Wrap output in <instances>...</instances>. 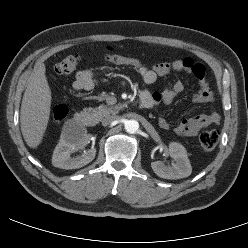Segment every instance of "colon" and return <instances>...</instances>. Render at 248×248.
Masks as SVG:
<instances>
[{"instance_id":"colon-1","label":"colon","mask_w":248,"mask_h":248,"mask_svg":"<svg viewBox=\"0 0 248 248\" xmlns=\"http://www.w3.org/2000/svg\"><path fill=\"white\" fill-rule=\"evenodd\" d=\"M104 58L111 63L129 66L136 70L146 66L141 60L123 55L111 47H106ZM80 62L81 57L78 55L65 56L55 65V72L62 76H68L76 70ZM67 114L68 108L65 105H56L53 110V120L59 123L67 117ZM219 137L220 135L217 130L202 133L199 138L201 148L206 152L214 150L218 144Z\"/></svg>"}]
</instances>
